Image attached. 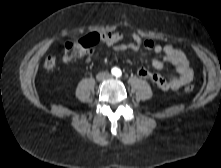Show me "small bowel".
<instances>
[{"label": "small bowel", "mask_w": 221, "mask_h": 168, "mask_svg": "<svg viewBox=\"0 0 221 168\" xmlns=\"http://www.w3.org/2000/svg\"><path fill=\"white\" fill-rule=\"evenodd\" d=\"M109 46H112L115 52H124L128 50L137 52L141 49L131 42H119L118 44ZM143 48L156 54V56L151 61L154 69L162 70L165 63H170L176 68L177 75L166 79L159 74L152 73L146 68L141 67L137 71L140 77L150 80L164 91H176L193 80L194 73L190 66V62L187 56L181 50L176 49L170 45L161 46L151 40H146V45Z\"/></svg>", "instance_id": "obj_1"}]
</instances>
